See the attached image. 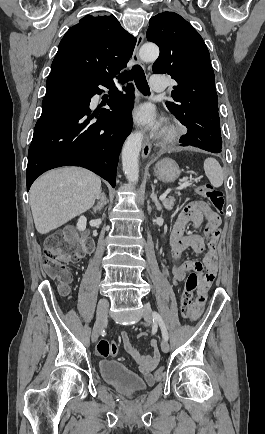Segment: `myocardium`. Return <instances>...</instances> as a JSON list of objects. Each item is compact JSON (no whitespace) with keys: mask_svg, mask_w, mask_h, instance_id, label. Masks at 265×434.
Here are the masks:
<instances>
[{"mask_svg":"<svg viewBox=\"0 0 265 434\" xmlns=\"http://www.w3.org/2000/svg\"><path fill=\"white\" fill-rule=\"evenodd\" d=\"M178 133H179L178 128L174 126H170L166 128L162 137V144L168 145L173 143L178 137Z\"/></svg>","mask_w":265,"mask_h":434,"instance_id":"f54148a6","label":"myocardium"}]
</instances>
